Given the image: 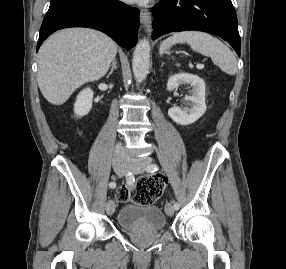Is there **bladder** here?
<instances>
[{"instance_id": "bladder-1", "label": "bladder", "mask_w": 286, "mask_h": 269, "mask_svg": "<svg viewBox=\"0 0 286 269\" xmlns=\"http://www.w3.org/2000/svg\"><path fill=\"white\" fill-rule=\"evenodd\" d=\"M117 223L127 232L162 231L167 219L158 206L128 203L119 210Z\"/></svg>"}]
</instances>
